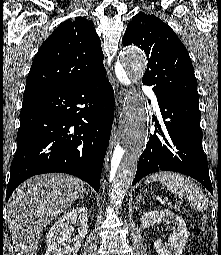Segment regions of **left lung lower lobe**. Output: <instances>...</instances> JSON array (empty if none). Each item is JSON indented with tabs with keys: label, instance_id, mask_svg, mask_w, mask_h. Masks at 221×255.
<instances>
[{
	"label": "left lung lower lobe",
	"instance_id": "1",
	"mask_svg": "<svg viewBox=\"0 0 221 255\" xmlns=\"http://www.w3.org/2000/svg\"><path fill=\"white\" fill-rule=\"evenodd\" d=\"M156 96L164 122H156L155 132L150 135L148 145L139 158L132 185L150 173L168 170L195 178L213 194L208 163L202 149L199 107Z\"/></svg>",
	"mask_w": 221,
	"mask_h": 255
}]
</instances>
